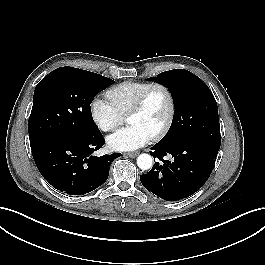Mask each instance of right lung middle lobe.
<instances>
[{"instance_id": "obj_1", "label": "right lung middle lobe", "mask_w": 265, "mask_h": 265, "mask_svg": "<svg viewBox=\"0 0 265 265\" xmlns=\"http://www.w3.org/2000/svg\"><path fill=\"white\" fill-rule=\"evenodd\" d=\"M114 80L73 67H60L36 86L28 122L30 143L100 133L90 104Z\"/></svg>"}]
</instances>
